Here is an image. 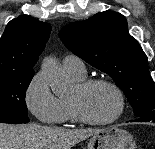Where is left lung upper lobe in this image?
<instances>
[{
  "mask_svg": "<svg viewBox=\"0 0 155 149\" xmlns=\"http://www.w3.org/2000/svg\"><path fill=\"white\" fill-rule=\"evenodd\" d=\"M59 37L75 55L114 79L136 116L155 114V87L148 58L129 34L123 15L99 12L88 20L66 25Z\"/></svg>",
  "mask_w": 155,
  "mask_h": 149,
  "instance_id": "5c2ea615",
  "label": "left lung upper lobe"
}]
</instances>
